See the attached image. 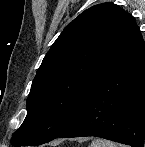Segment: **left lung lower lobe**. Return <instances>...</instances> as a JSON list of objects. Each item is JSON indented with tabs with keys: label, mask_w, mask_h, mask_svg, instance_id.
<instances>
[{
	"label": "left lung lower lobe",
	"mask_w": 145,
	"mask_h": 147,
	"mask_svg": "<svg viewBox=\"0 0 145 147\" xmlns=\"http://www.w3.org/2000/svg\"><path fill=\"white\" fill-rule=\"evenodd\" d=\"M83 136L131 147L144 146L145 43L131 14L127 15L76 119L58 137Z\"/></svg>",
	"instance_id": "1"
}]
</instances>
